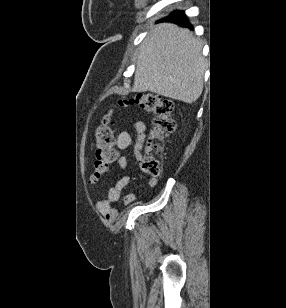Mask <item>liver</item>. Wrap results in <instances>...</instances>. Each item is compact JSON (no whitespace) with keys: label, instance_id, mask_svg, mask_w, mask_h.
Segmentation results:
<instances>
[{"label":"liver","instance_id":"obj_1","mask_svg":"<svg viewBox=\"0 0 286 308\" xmlns=\"http://www.w3.org/2000/svg\"><path fill=\"white\" fill-rule=\"evenodd\" d=\"M201 50V43L188 29L172 23L151 26L139 48L132 91H150L192 104L203 91Z\"/></svg>","mask_w":286,"mask_h":308}]
</instances>
